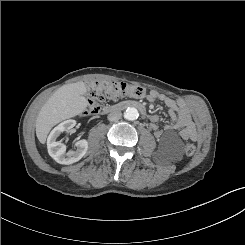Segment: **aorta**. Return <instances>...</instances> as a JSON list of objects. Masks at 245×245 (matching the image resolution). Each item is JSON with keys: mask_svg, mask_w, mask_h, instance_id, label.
<instances>
[{"mask_svg": "<svg viewBox=\"0 0 245 245\" xmlns=\"http://www.w3.org/2000/svg\"><path fill=\"white\" fill-rule=\"evenodd\" d=\"M139 116V112L134 107H128L124 112V117L128 120H136Z\"/></svg>", "mask_w": 245, "mask_h": 245, "instance_id": "1", "label": "aorta"}]
</instances>
